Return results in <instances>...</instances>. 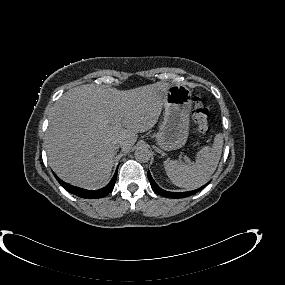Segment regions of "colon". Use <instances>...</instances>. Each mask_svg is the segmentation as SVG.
<instances>
[{
  "label": "colon",
  "mask_w": 285,
  "mask_h": 285,
  "mask_svg": "<svg viewBox=\"0 0 285 285\" xmlns=\"http://www.w3.org/2000/svg\"><path fill=\"white\" fill-rule=\"evenodd\" d=\"M208 114V108L203 100L195 96L193 98L192 118L197 125L198 132L203 136L209 132Z\"/></svg>",
  "instance_id": "5ec220e1"
}]
</instances>
